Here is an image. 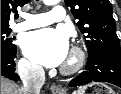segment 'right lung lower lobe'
Listing matches in <instances>:
<instances>
[{"mask_svg": "<svg viewBox=\"0 0 121 94\" xmlns=\"http://www.w3.org/2000/svg\"><path fill=\"white\" fill-rule=\"evenodd\" d=\"M16 49L1 50V75L11 80H19V76L15 73Z\"/></svg>", "mask_w": 121, "mask_h": 94, "instance_id": "98d812e1", "label": "right lung lower lobe"}]
</instances>
